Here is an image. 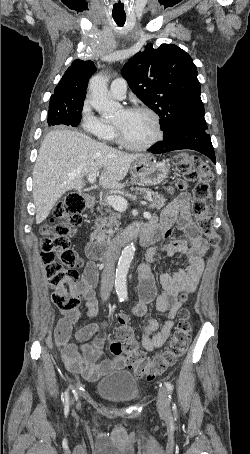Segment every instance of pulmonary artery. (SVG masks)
<instances>
[{
	"label": "pulmonary artery",
	"instance_id": "obj_1",
	"mask_svg": "<svg viewBox=\"0 0 250 454\" xmlns=\"http://www.w3.org/2000/svg\"><path fill=\"white\" fill-rule=\"evenodd\" d=\"M127 84L123 78H116L111 82L110 93L116 99H123L126 95Z\"/></svg>",
	"mask_w": 250,
	"mask_h": 454
}]
</instances>
